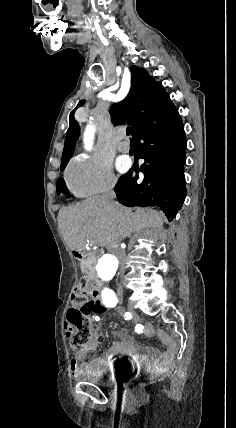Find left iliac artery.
<instances>
[{
  "mask_svg": "<svg viewBox=\"0 0 236 428\" xmlns=\"http://www.w3.org/2000/svg\"><path fill=\"white\" fill-rule=\"evenodd\" d=\"M102 301L106 307H115L118 299L113 291H102Z\"/></svg>",
  "mask_w": 236,
  "mask_h": 428,
  "instance_id": "obj_1",
  "label": "left iliac artery"
}]
</instances>
